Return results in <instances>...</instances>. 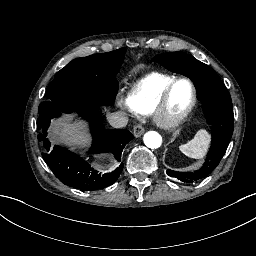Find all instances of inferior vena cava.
<instances>
[{
    "label": "inferior vena cava",
    "mask_w": 256,
    "mask_h": 256,
    "mask_svg": "<svg viewBox=\"0 0 256 256\" xmlns=\"http://www.w3.org/2000/svg\"><path fill=\"white\" fill-rule=\"evenodd\" d=\"M109 124L114 128L125 127L128 123V117L124 112H114L107 114Z\"/></svg>",
    "instance_id": "obj_1"
}]
</instances>
